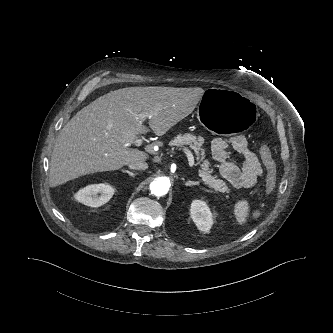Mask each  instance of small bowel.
Here are the masks:
<instances>
[{"instance_id": "1", "label": "small bowel", "mask_w": 333, "mask_h": 333, "mask_svg": "<svg viewBox=\"0 0 333 333\" xmlns=\"http://www.w3.org/2000/svg\"><path fill=\"white\" fill-rule=\"evenodd\" d=\"M211 152L219 164L220 175L237 190L254 188L264 173V161L249 149L247 140L242 135L214 139ZM233 158L239 162L236 163Z\"/></svg>"}]
</instances>
